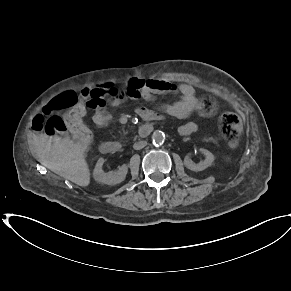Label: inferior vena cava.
I'll use <instances>...</instances> for the list:
<instances>
[{
  "mask_svg": "<svg viewBox=\"0 0 291 291\" xmlns=\"http://www.w3.org/2000/svg\"><path fill=\"white\" fill-rule=\"evenodd\" d=\"M146 145H147L146 141H144V140L143 141H138V142L134 143L133 148L135 150H140V149L144 148Z\"/></svg>",
  "mask_w": 291,
  "mask_h": 291,
  "instance_id": "obj_1",
  "label": "inferior vena cava"
}]
</instances>
